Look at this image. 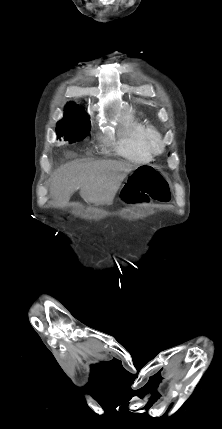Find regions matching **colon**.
Returning a JSON list of instances; mask_svg holds the SVG:
<instances>
[{"label": "colon", "mask_w": 222, "mask_h": 429, "mask_svg": "<svg viewBox=\"0 0 222 429\" xmlns=\"http://www.w3.org/2000/svg\"><path fill=\"white\" fill-rule=\"evenodd\" d=\"M122 197L128 203H144L150 200L168 202L171 195L168 182L158 169L140 165L123 187Z\"/></svg>", "instance_id": "5ec220e1"}]
</instances>
